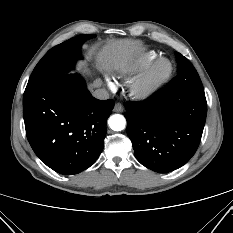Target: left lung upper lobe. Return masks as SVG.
<instances>
[{
  "mask_svg": "<svg viewBox=\"0 0 233 233\" xmlns=\"http://www.w3.org/2000/svg\"><path fill=\"white\" fill-rule=\"evenodd\" d=\"M175 55L178 63L177 76L166 85V89L204 94L202 82L195 68L180 53L176 52Z\"/></svg>",
  "mask_w": 233,
  "mask_h": 233,
  "instance_id": "1",
  "label": "left lung upper lobe"
}]
</instances>
